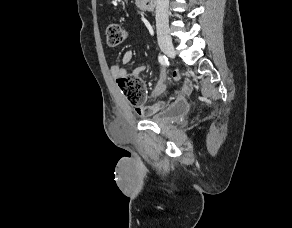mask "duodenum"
Returning <instances> with one entry per match:
<instances>
[{"label":"duodenum","mask_w":292,"mask_h":228,"mask_svg":"<svg viewBox=\"0 0 292 228\" xmlns=\"http://www.w3.org/2000/svg\"><path fill=\"white\" fill-rule=\"evenodd\" d=\"M142 10L151 11L155 7V0H137Z\"/></svg>","instance_id":"duodenum-1"}]
</instances>
